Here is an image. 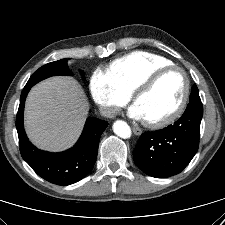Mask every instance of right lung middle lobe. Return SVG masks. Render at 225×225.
<instances>
[{
    "instance_id": "obj_1",
    "label": "right lung middle lobe",
    "mask_w": 225,
    "mask_h": 225,
    "mask_svg": "<svg viewBox=\"0 0 225 225\" xmlns=\"http://www.w3.org/2000/svg\"><path fill=\"white\" fill-rule=\"evenodd\" d=\"M66 60L67 59H61L40 67L30 77L26 85L33 86L39 81L54 75H70L71 72L68 70Z\"/></svg>"
}]
</instances>
